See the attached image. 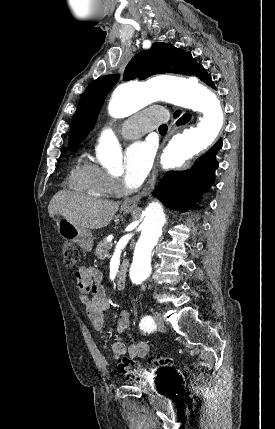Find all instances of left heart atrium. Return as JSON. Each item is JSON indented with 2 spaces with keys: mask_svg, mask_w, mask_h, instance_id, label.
Segmentation results:
<instances>
[{
  "mask_svg": "<svg viewBox=\"0 0 275 429\" xmlns=\"http://www.w3.org/2000/svg\"><path fill=\"white\" fill-rule=\"evenodd\" d=\"M155 154L150 141H138L126 151L123 180L129 188L139 187L146 178Z\"/></svg>",
  "mask_w": 275,
  "mask_h": 429,
  "instance_id": "obj_1",
  "label": "left heart atrium"
}]
</instances>
